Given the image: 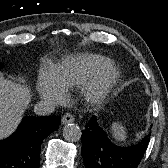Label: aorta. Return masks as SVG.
<instances>
[{
  "instance_id": "aorta-1",
  "label": "aorta",
  "mask_w": 168,
  "mask_h": 168,
  "mask_svg": "<svg viewBox=\"0 0 168 168\" xmlns=\"http://www.w3.org/2000/svg\"><path fill=\"white\" fill-rule=\"evenodd\" d=\"M81 129L77 124H67L63 128V137L66 141L76 142L81 138Z\"/></svg>"
}]
</instances>
